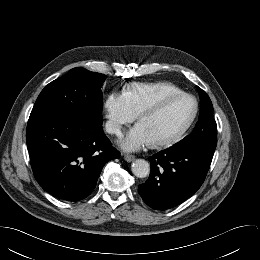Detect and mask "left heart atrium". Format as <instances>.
Masks as SVG:
<instances>
[{
    "instance_id": "39dd6f15",
    "label": "left heart atrium",
    "mask_w": 260,
    "mask_h": 260,
    "mask_svg": "<svg viewBox=\"0 0 260 260\" xmlns=\"http://www.w3.org/2000/svg\"><path fill=\"white\" fill-rule=\"evenodd\" d=\"M153 138L144 128V126L139 123L134 128H132L127 135L120 140V146L127 151H137L153 144Z\"/></svg>"
}]
</instances>
